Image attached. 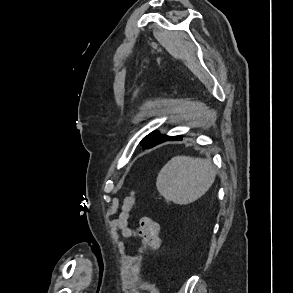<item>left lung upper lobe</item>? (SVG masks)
<instances>
[{
    "mask_svg": "<svg viewBox=\"0 0 293 293\" xmlns=\"http://www.w3.org/2000/svg\"><path fill=\"white\" fill-rule=\"evenodd\" d=\"M163 137L164 136L159 134L158 132H152L143 138V140L141 141V145L147 149L151 148L156 145Z\"/></svg>",
    "mask_w": 293,
    "mask_h": 293,
    "instance_id": "5c2ea615",
    "label": "left lung upper lobe"
}]
</instances>
